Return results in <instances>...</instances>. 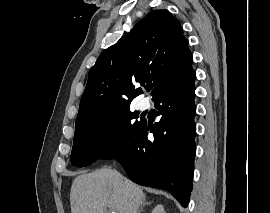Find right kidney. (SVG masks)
Segmentation results:
<instances>
[{
	"label": "right kidney",
	"mask_w": 270,
	"mask_h": 213,
	"mask_svg": "<svg viewBox=\"0 0 270 213\" xmlns=\"http://www.w3.org/2000/svg\"><path fill=\"white\" fill-rule=\"evenodd\" d=\"M151 213H166L165 210H164V207L163 205H157Z\"/></svg>",
	"instance_id": "obj_1"
}]
</instances>
